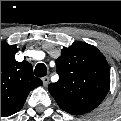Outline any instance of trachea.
Masks as SVG:
<instances>
[{
  "label": "trachea",
  "mask_w": 121,
  "mask_h": 121,
  "mask_svg": "<svg viewBox=\"0 0 121 121\" xmlns=\"http://www.w3.org/2000/svg\"><path fill=\"white\" fill-rule=\"evenodd\" d=\"M46 73H47V67L44 64L40 63L36 66L35 75L37 77H43L46 75Z\"/></svg>",
  "instance_id": "1"
}]
</instances>
